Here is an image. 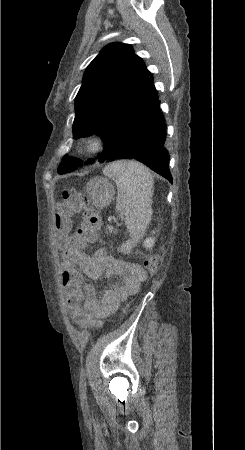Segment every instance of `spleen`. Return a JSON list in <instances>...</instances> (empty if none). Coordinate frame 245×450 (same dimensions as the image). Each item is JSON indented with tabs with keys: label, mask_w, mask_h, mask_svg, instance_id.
<instances>
[{
	"label": "spleen",
	"mask_w": 245,
	"mask_h": 450,
	"mask_svg": "<svg viewBox=\"0 0 245 450\" xmlns=\"http://www.w3.org/2000/svg\"><path fill=\"white\" fill-rule=\"evenodd\" d=\"M103 173L112 178L117 186L116 210L125 215V225L132 238L122 244L120 251L128 253L151 221L153 177L149 169L137 161L111 163Z\"/></svg>",
	"instance_id": "spleen-1"
}]
</instances>
